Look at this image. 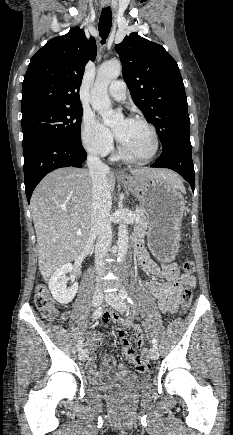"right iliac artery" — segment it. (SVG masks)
Returning <instances> with one entry per match:
<instances>
[{
    "mask_svg": "<svg viewBox=\"0 0 233 435\" xmlns=\"http://www.w3.org/2000/svg\"><path fill=\"white\" fill-rule=\"evenodd\" d=\"M102 312H103L102 308H101V307H98V308L94 311V313L92 314V319L95 320V319H97L98 317H100L101 314H102ZM82 346H83V339H82V337H80V339L78 340V343H77V349H78V351H80V350L82 349Z\"/></svg>",
    "mask_w": 233,
    "mask_h": 435,
    "instance_id": "obj_1",
    "label": "right iliac artery"
}]
</instances>
